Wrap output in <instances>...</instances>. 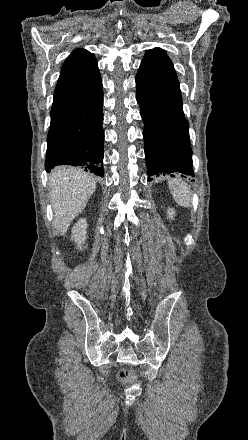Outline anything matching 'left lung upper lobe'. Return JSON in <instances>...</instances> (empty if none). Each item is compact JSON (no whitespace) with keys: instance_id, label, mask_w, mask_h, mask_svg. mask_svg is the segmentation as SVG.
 I'll return each instance as SVG.
<instances>
[{"instance_id":"obj_1","label":"left lung upper lobe","mask_w":248,"mask_h":440,"mask_svg":"<svg viewBox=\"0 0 248 440\" xmlns=\"http://www.w3.org/2000/svg\"><path fill=\"white\" fill-rule=\"evenodd\" d=\"M137 75L151 84L167 87L181 95L173 64L161 48L146 52Z\"/></svg>"}]
</instances>
